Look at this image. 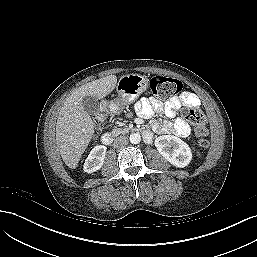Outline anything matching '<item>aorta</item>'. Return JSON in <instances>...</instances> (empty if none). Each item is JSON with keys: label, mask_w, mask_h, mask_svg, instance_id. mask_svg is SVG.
Masks as SVG:
<instances>
[{"label": "aorta", "mask_w": 257, "mask_h": 257, "mask_svg": "<svg viewBox=\"0 0 257 257\" xmlns=\"http://www.w3.org/2000/svg\"><path fill=\"white\" fill-rule=\"evenodd\" d=\"M129 140L132 144H138L141 141V136L138 133L130 134Z\"/></svg>", "instance_id": "1"}]
</instances>
